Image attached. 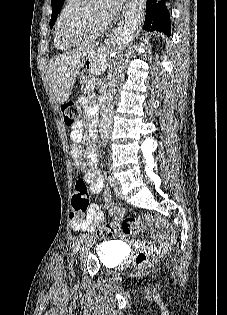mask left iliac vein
<instances>
[{"instance_id":"1","label":"left iliac vein","mask_w":227,"mask_h":315,"mask_svg":"<svg viewBox=\"0 0 227 315\" xmlns=\"http://www.w3.org/2000/svg\"><path fill=\"white\" fill-rule=\"evenodd\" d=\"M113 186H114V193H115L116 197L117 198H122V191H121V186H120L119 181L115 179ZM91 241H92L91 239H86L82 243V245L80 247V252L81 253H83L87 249V247L90 245Z\"/></svg>"}]
</instances>
